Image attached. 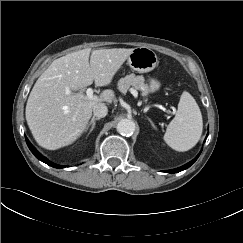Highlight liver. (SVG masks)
Returning <instances> with one entry per match:
<instances>
[{"label": "liver", "mask_w": 243, "mask_h": 243, "mask_svg": "<svg viewBox=\"0 0 243 243\" xmlns=\"http://www.w3.org/2000/svg\"><path fill=\"white\" fill-rule=\"evenodd\" d=\"M133 50L113 48L91 52L87 48L54 60L36 81L26 105V121L38 145L55 150L80 137L94 106L111 103L114 92L104 90L93 100L75 92L93 81L96 86L109 85Z\"/></svg>", "instance_id": "liver-1"}]
</instances>
